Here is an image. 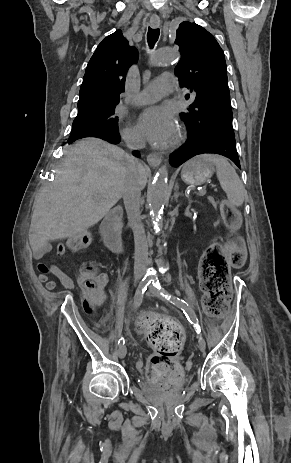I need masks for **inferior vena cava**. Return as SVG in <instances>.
Masks as SVG:
<instances>
[{
	"instance_id": "obj_1",
	"label": "inferior vena cava",
	"mask_w": 291,
	"mask_h": 463,
	"mask_svg": "<svg viewBox=\"0 0 291 463\" xmlns=\"http://www.w3.org/2000/svg\"><path fill=\"white\" fill-rule=\"evenodd\" d=\"M123 139L130 149L145 148V141L138 133H128ZM129 163L130 175L123 190V200L134 233L135 259H147L148 243L140 213L141 187L138 179L140 163L138 159L133 156H129ZM140 275H144V271H140Z\"/></svg>"
}]
</instances>
